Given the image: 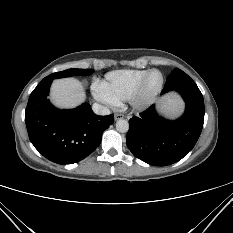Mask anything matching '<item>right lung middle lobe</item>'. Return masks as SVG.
<instances>
[{"instance_id": "1", "label": "right lung middle lobe", "mask_w": 233, "mask_h": 233, "mask_svg": "<svg viewBox=\"0 0 233 233\" xmlns=\"http://www.w3.org/2000/svg\"><path fill=\"white\" fill-rule=\"evenodd\" d=\"M94 72L92 69H67L61 72H56L51 75L62 78V77H71V76H87Z\"/></svg>"}]
</instances>
